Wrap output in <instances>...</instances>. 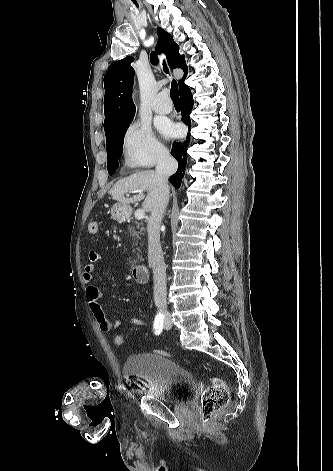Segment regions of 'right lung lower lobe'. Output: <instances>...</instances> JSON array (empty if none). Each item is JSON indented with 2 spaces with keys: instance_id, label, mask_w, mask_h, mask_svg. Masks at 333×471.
Returning a JSON list of instances; mask_svg holds the SVG:
<instances>
[{
  "instance_id": "obj_1",
  "label": "right lung lower lobe",
  "mask_w": 333,
  "mask_h": 471,
  "mask_svg": "<svg viewBox=\"0 0 333 471\" xmlns=\"http://www.w3.org/2000/svg\"><path fill=\"white\" fill-rule=\"evenodd\" d=\"M180 100L182 104V121L188 125L190 129V112L193 107V98L190 89L185 86L180 91ZM190 142V134L187 135L186 141L183 143L174 142L171 150L172 156L178 161V169L175 174L170 177V182L173 184L174 187L179 188V184L184 177L185 174V166L187 161V153L186 149Z\"/></svg>"
}]
</instances>
